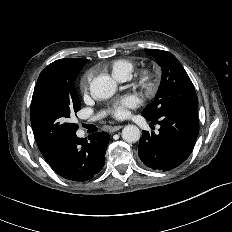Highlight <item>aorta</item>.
<instances>
[{
  "label": "aorta",
  "instance_id": "1",
  "mask_svg": "<svg viewBox=\"0 0 232 232\" xmlns=\"http://www.w3.org/2000/svg\"><path fill=\"white\" fill-rule=\"evenodd\" d=\"M117 89L116 82L107 75H100L90 84L91 95L98 99L112 97ZM141 132L135 125H127L122 130V138L128 143H135L140 139Z\"/></svg>",
  "mask_w": 232,
  "mask_h": 232
}]
</instances>
